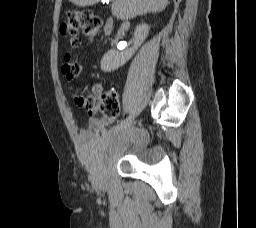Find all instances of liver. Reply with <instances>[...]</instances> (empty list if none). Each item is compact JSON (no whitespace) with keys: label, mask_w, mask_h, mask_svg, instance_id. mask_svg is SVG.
Here are the masks:
<instances>
[{"label":"liver","mask_w":256,"mask_h":228,"mask_svg":"<svg viewBox=\"0 0 256 228\" xmlns=\"http://www.w3.org/2000/svg\"><path fill=\"white\" fill-rule=\"evenodd\" d=\"M73 4L81 7L90 6L99 0H69ZM168 4V0H113L111 11L118 19H133L136 16L147 13L163 11Z\"/></svg>","instance_id":"1"}]
</instances>
